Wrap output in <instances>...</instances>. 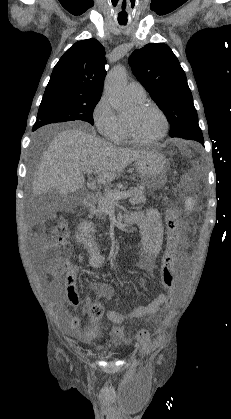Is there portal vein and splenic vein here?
I'll use <instances>...</instances> for the list:
<instances>
[{"label":"portal vein and splenic vein","instance_id":"portal-vein-and-splenic-vein-1","mask_svg":"<svg viewBox=\"0 0 231 419\" xmlns=\"http://www.w3.org/2000/svg\"><path fill=\"white\" fill-rule=\"evenodd\" d=\"M93 172L92 169H86L85 173L86 174H91ZM132 195V192L130 190L124 191V192H118V193H110L109 194V198L112 202L121 200V199H125L128 198Z\"/></svg>","mask_w":231,"mask_h":419}]
</instances>
